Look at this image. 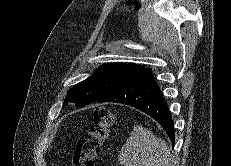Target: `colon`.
Listing matches in <instances>:
<instances>
[{
  "mask_svg": "<svg viewBox=\"0 0 231 166\" xmlns=\"http://www.w3.org/2000/svg\"><path fill=\"white\" fill-rule=\"evenodd\" d=\"M114 122L113 113L106 107H97L93 112L90 130L76 143L71 157V166H93L103 141L108 137Z\"/></svg>",
  "mask_w": 231,
  "mask_h": 166,
  "instance_id": "obj_1",
  "label": "colon"
}]
</instances>
